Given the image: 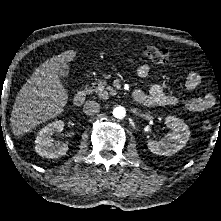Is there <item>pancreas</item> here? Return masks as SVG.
<instances>
[{
  "instance_id": "1",
  "label": "pancreas",
  "mask_w": 221,
  "mask_h": 221,
  "mask_svg": "<svg viewBox=\"0 0 221 221\" xmlns=\"http://www.w3.org/2000/svg\"><path fill=\"white\" fill-rule=\"evenodd\" d=\"M92 91H94L101 99H107L109 97V94L110 95L116 94L113 88L107 86L106 81H99L98 85L95 86Z\"/></svg>"
}]
</instances>
